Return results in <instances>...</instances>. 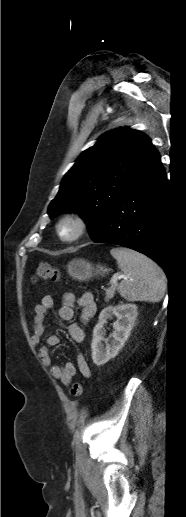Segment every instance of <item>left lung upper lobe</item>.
Returning a JSON list of instances; mask_svg holds the SVG:
<instances>
[{
  "label": "left lung upper lobe",
  "mask_w": 186,
  "mask_h": 517,
  "mask_svg": "<svg viewBox=\"0 0 186 517\" xmlns=\"http://www.w3.org/2000/svg\"><path fill=\"white\" fill-rule=\"evenodd\" d=\"M159 156L143 133L120 128L102 135L85 150L63 178L48 214L75 211L93 239L108 213Z\"/></svg>",
  "instance_id": "1"
}]
</instances>
